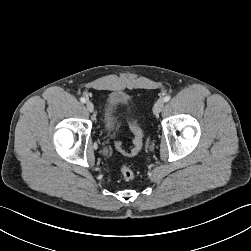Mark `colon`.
Segmentation results:
<instances>
[{"instance_id":"5ec220e1","label":"colon","mask_w":251,"mask_h":251,"mask_svg":"<svg viewBox=\"0 0 251 251\" xmlns=\"http://www.w3.org/2000/svg\"><path fill=\"white\" fill-rule=\"evenodd\" d=\"M130 128L132 130V132L135 135L134 138V146L131 149L130 152H126L128 154L134 155L136 154L142 147V142H143V133L141 128L139 127V125L137 124V122L134 119H130ZM116 146L118 149L122 150V146L119 142L116 143ZM120 172L122 177L126 180V181H132L135 177L134 171L132 169H130L127 166H122L120 168Z\"/></svg>"}]
</instances>
